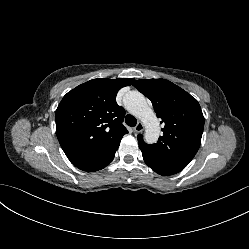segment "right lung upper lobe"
Returning a JSON list of instances; mask_svg holds the SVG:
<instances>
[{
	"instance_id": "cb5924a9",
	"label": "right lung upper lobe",
	"mask_w": 249,
	"mask_h": 249,
	"mask_svg": "<svg viewBox=\"0 0 249 249\" xmlns=\"http://www.w3.org/2000/svg\"><path fill=\"white\" fill-rule=\"evenodd\" d=\"M132 78L92 79L68 92L55 113L56 134L65 154L97 151L128 133L122 125L125 110L116 103L117 92Z\"/></svg>"
}]
</instances>
